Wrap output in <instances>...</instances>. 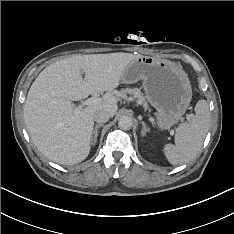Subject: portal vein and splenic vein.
I'll use <instances>...</instances> for the list:
<instances>
[{
  "label": "portal vein and splenic vein",
  "mask_w": 234,
  "mask_h": 234,
  "mask_svg": "<svg viewBox=\"0 0 234 234\" xmlns=\"http://www.w3.org/2000/svg\"><path fill=\"white\" fill-rule=\"evenodd\" d=\"M102 99L101 98H97V97H91L89 99H87L86 101L82 102L78 107H77V111L81 110L83 107L85 106H89V105H94L97 104L99 102H101ZM188 118H190V116H188Z\"/></svg>",
  "instance_id": "portal-vein-and-splenic-vein-1"
}]
</instances>
